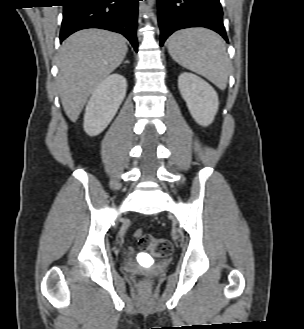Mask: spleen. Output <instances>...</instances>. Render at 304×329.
Returning a JSON list of instances; mask_svg holds the SVG:
<instances>
[{
  "mask_svg": "<svg viewBox=\"0 0 304 329\" xmlns=\"http://www.w3.org/2000/svg\"><path fill=\"white\" fill-rule=\"evenodd\" d=\"M168 52L181 66L204 76L221 90L226 88L230 62L217 33L204 28L177 31L168 40Z\"/></svg>",
  "mask_w": 304,
  "mask_h": 329,
  "instance_id": "obj_1",
  "label": "spleen"
}]
</instances>
